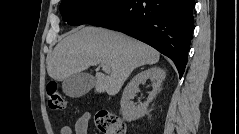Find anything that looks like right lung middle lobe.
Listing matches in <instances>:
<instances>
[{"mask_svg":"<svg viewBox=\"0 0 239 134\" xmlns=\"http://www.w3.org/2000/svg\"><path fill=\"white\" fill-rule=\"evenodd\" d=\"M118 0H62L60 12L70 25H82Z\"/></svg>","mask_w":239,"mask_h":134,"instance_id":"1","label":"right lung middle lobe"}]
</instances>
